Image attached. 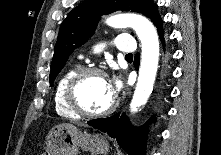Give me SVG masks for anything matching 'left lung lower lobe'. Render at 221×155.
I'll use <instances>...</instances> for the list:
<instances>
[{"label": "left lung lower lobe", "mask_w": 221, "mask_h": 155, "mask_svg": "<svg viewBox=\"0 0 221 155\" xmlns=\"http://www.w3.org/2000/svg\"><path fill=\"white\" fill-rule=\"evenodd\" d=\"M149 18L156 25L159 35L162 38V20L158 14L157 6L152 10ZM134 65L138 69L139 54L135 56ZM87 124L116 138L120 147L130 155H145L147 139L146 125L136 128L130 124L125 114L120 116V113L108 118L94 119L88 121Z\"/></svg>", "instance_id": "left-lung-lower-lobe-1"}]
</instances>
